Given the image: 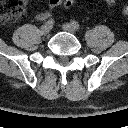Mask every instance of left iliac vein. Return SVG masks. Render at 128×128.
Segmentation results:
<instances>
[{
    "mask_svg": "<svg viewBox=\"0 0 128 128\" xmlns=\"http://www.w3.org/2000/svg\"><path fill=\"white\" fill-rule=\"evenodd\" d=\"M62 29L64 31H67L69 33L75 34L76 30L74 29V27L71 24L65 23L62 25Z\"/></svg>",
    "mask_w": 128,
    "mask_h": 128,
    "instance_id": "1",
    "label": "left iliac vein"
}]
</instances>
